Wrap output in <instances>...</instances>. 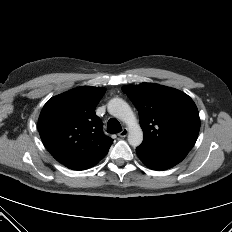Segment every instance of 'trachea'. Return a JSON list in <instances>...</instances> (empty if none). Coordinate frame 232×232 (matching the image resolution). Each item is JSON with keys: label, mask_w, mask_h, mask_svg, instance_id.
I'll list each match as a JSON object with an SVG mask.
<instances>
[{"label": "trachea", "mask_w": 232, "mask_h": 232, "mask_svg": "<svg viewBox=\"0 0 232 232\" xmlns=\"http://www.w3.org/2000/svg\"><path fill=\"white\" fill-rule=\"evenodd\" d=\"M122 131V127L115 118H111L107 123V132L108 133H119Z\"/></svg>", "instance_id": "1"}]
</instances>
